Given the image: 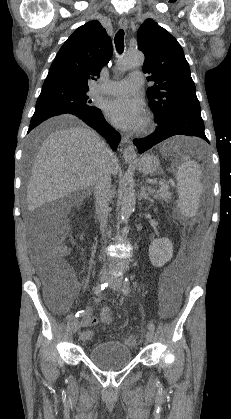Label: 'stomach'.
<instances>
[{"mask_svg": "<svg viewBox=\"0 0 231 419\" xmlns=\"http://www.w3.org/2000/svg\"><path fill=\"white\" fill-rule=\"evenodd\" d=\"M133 165L143 174L155 175L159 172V158L153 153H145L134 161H131Z\"/></svg>", "mask_w": 231, "mask_h": 419, "instance_id": "0dacf381", "label": "stomach"}]
</instances>
